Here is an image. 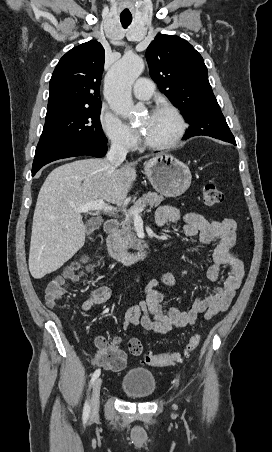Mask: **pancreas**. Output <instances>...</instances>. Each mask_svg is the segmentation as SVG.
Here are the masks:
<instances>
[{
	"label": "pancreas",
	"instance_id": "cf45deb5",
	"mask_svg": "<svg viewBox=\"0 0 272 452\" xmlns=\"http://www.w3.org/2000/svg\"><path fill=\"white\" fill-rule=\"evenodd\" d=\"M164 200L162 195H158L155 192H148L140 197L133 205L132 208H139L142 206L149 205L150 207H157ZM134 217L132 214L128 213L125 215L124 219L121 221V229L119 231V242L125 249L139 250L142 246V240L138 239L133 227Z\"/></svg>",
	"mask_w": 272,
	"mask_h": 452
}]
</instances>
